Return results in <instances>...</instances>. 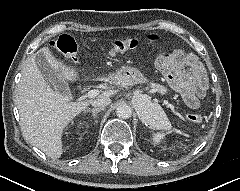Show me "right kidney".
I'll use <instances>...</instances> for the list:
<instances>
[{
	"instance_id": "ca27d5eb",
	"label": "right kidney",
	"mask_w": 240,
	"mask_h": 191,
	"mask_svg": "<svg viewBox=\"0 0 240 191\" xmlns=\"http://www.w3.org/2000/svg\"><path fill=\"white\" fill-rule=\"evenodd\" d=\"M81 126H83V123H82V122H80V123L78 124V127H79V128H81Z\"/></svg>"
}]
</instances>
